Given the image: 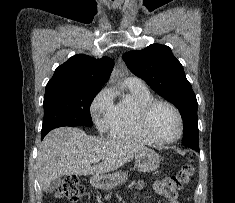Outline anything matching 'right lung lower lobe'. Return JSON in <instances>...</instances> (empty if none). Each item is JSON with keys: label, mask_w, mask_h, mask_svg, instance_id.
Wrapping results in <instances>:
<instances>
[{"label": "right lung lower lobe", "mask_w": 235, "mask_h": 203, "mask_svg": "<svg viewBox=\"0 0 235 203\" xmlns=\"http://www.w3.org/2000/svg\"><path fill=\"white\" fill-rule=\"evenodd\" d=\"M47 133H48V132L41 133V139H43Z\"/></svg>", "instance_id": "right-lung-lower-lobe-1"}]
</instances>
